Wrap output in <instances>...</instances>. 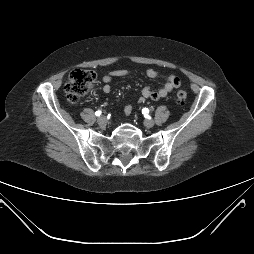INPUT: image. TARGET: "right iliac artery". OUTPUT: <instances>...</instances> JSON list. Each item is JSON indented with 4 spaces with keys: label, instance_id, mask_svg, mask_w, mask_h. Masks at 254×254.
Returning <instances> with one entry per match:
<instances>
[{
    "label": "right iliac artery",
    "instance_id": "right-iliac-artery-1",
    "mask_svg": "<svg viewBox=\"0 0 254 254\" xmlns=\"http://www.w3.org/2000/svg\"><path fill=\"white\" fill-rule=\"evenodd\" d=\"M101 114H102L101 110H98V111L95 112L96 116H100Z\"/></svg>",
    "mask_w": 254,
    "mask_h": 254
}]
</instances>
